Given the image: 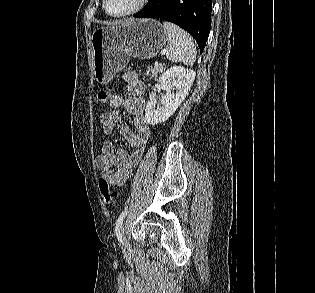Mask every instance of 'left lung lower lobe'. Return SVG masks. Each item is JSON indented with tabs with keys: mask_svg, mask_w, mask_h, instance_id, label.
<instances>
[{
	"mask_svg": "<svg viewBox=\"0 0 315 293\" xmlns=\"http://www.w3.org/2000/svg\"><path fill=\"white\" fill-rule=\"evenodd\" d=\"M212 0H149L136 18H160L189 32L202 52L210 31Z\"/></svg>",
	"mask_w": 315,
	"mask_h": 293,
	"instance_id": "left-lung-lower-lobe-1",
	"label": "left lung lower lobe"
}]
</instances>
